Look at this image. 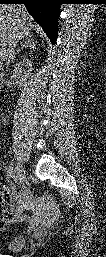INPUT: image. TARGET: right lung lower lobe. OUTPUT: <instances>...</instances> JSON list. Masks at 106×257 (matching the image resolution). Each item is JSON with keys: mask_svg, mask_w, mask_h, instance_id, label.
<instances>
[{"mask_svg": "<svg viewBox=\"0 0 106 257\" xmlns=\"http://www.w3.org/2000/svg\"><path fill=\"white\" fill-rule=\"evenodd\" d=\"M1 4H24L34 18L43 28L52 44L57 40L59 0H0Z\"/></svg>", "mask_w": 106, "mask_h": 257, "instance_id": "1", "label": "right lung lower lobe"}]
</instances>
